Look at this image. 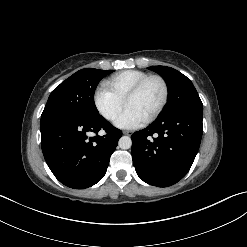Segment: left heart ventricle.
I'll list each match as a JSON object with an SVG mask.
<instances>
[{"instance_id": "b2bd125f", "label": "left heart ventricle", "mask_w": 247, "mask_h": 247, "mask_svg": "<svg viewBox=\"0 0 247 247\" xmlns=\"http://www.w3.org/2000/svg\"><path fill=\"white\" fill-rule=\"evenodd\" d=\"M163 97V88L158 80L149 81L142 90L131 98L126 106H131L146 118L158 107Z\"/></svg>"}]
</instances>
